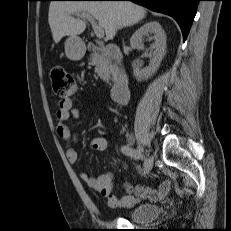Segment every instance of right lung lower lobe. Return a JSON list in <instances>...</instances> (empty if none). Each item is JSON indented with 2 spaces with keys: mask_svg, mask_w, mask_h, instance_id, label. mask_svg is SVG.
<instances>
[{
  "mask_svg": "<svg viewBox=\"0 0 231 231\" xmlns=\"http://www.w3.org/2000/svg\"><path fill=\"white\" fill-rule=\"evenodd\" d=\"M97 1V0H90ZM121 1V0H112ZM132 1L155 12L172 16L179 24L184 41L187 38L193 19L196 15L198 2L201 0H123Z\"/></svg>",
  "mask_w": 231,
  "mask_h": 231,
  "instance_id": "right-lung-lower-lobe-1",
  "label": "right lung lower lobe"
}]
</instances>
